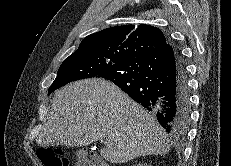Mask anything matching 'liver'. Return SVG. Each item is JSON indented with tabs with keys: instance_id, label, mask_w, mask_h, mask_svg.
Here are the masks:
<instances>
[{
	"instance_id": "liver-1",
	"label": "liver",
	"mask_w": 231,
	"mask_h": 166,
	"mask_svg": "<svg viewBox=\"0 0 231 166\" xmlns=\"http://www.w3.org/2000/svg\"><path fill=\"white\" fill-rule=\"evenodd\" d=\"M101 139L109 140L100 154L110 163L165 155L171 148L154 115L100 78L62 87L51 102L36 142L42 147L86 146Z\"/></svg>"
}]
</instances>
